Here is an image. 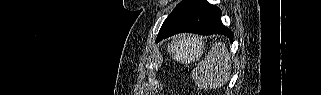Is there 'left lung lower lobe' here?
<instances>
[{
    "mask_svg": "<svg viewBox=\"0 0 321 95\" xmlns=\"http://www.w3.org/2000/svg\"><path fill=\"white\" fill-rule=\"evenodd\" d=\"M222 34L233 41V33L221 22V11L206 0H183L164 21L156 42L177 33Z\"/></svg>",
    "mask_w": 321,
    "mask_h": 95,
    "instance_id": "obj_1",
    "label": "left lung lower lobe"
}]
</instances>
